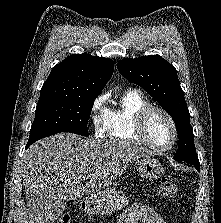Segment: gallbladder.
I'll use <instances>...</instances> for the list:
<instances>
[{"label":"gallbladder","instance_id":"obj_1","mask_svg":"<svg viewBox=\"0 0 221 223\" xmlns=\"http://www.w3.org/2000/svg\"><path fill=\"white\" fill-rule=\"evenodd\" d=\"M63 205L65 206L66 205V202L65 201H63ZM61 211L63 210V208L61 207V209H60Z\"/></svg>","mask_w":221,"mask_h":223}]
</instances>
